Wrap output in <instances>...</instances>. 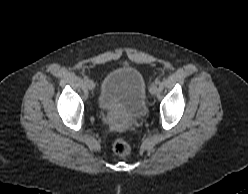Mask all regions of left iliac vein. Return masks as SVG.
Wrapping results in <instances>:
<instances>
[{"instance_id":"left-iliac-vein-1","label":"left iliac vein","mask_w":248,"mask_h":194,"mask_svg":"<svg viewBox=\"0 0 248 194\" xmlns=\"http://www.w3.org/2000/svg\"><path fill=\"white\" fill-rule=\"evenodd\" d=\"M149 91H150V93H151L152 95H156L157 92H158V87H157V85L153 83V84L150 86Z\"/></svg>"}]
</instances>
